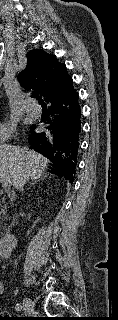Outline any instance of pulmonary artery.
Returning a JSON list of instances; mask_svg holds the SVG:
<instances>
[{"mask_svg": "<svg viewBox=\"0 0 118 320\" xmlns=\"http://www.w3.org/2000/svg\"><path fill=\"white\" fill-rule=\"evenodd\" d=\"M25 110L33 115H38L40 113V107L37 103L35 102H26L25 104Z\"/></svg>", "mask_w": 118, "mask_h": 320, "instance_id": "pulmonary-artery-1", "label": "pulmonary artery"}]
</instances>
